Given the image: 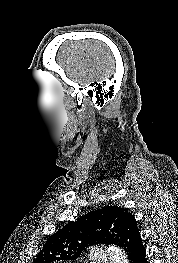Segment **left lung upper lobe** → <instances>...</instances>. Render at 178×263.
Returning a JSON list of instances; mask_svg holds the SVG:
<instances>
[{"instance_id": "obj_1", "label": "left lung upper lobe", "mask_w": 178, "mask_h": 263, "mask_svg": "<svg viewBox=\"0 0 178 263\" xmlns=\"http://www.w3.org/2000/svg\"><path fill=\"white\" fill-rule=\"evenodd\" d=\"M131 216L126 209L116 206H106L85 214L50 236L34 263L75 260L94 244L113 243L119 246Z\"/></svg>"}]
</instances>
